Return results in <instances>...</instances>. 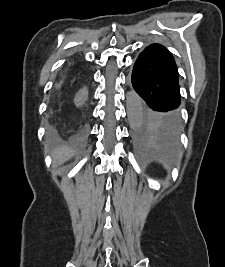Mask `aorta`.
<instances>
[{
	"label": "aorta",
	"mask_w": 225,
	"mask_h": 267,
	"mask_svg": "<svg viewBox=\"0 0 225 267\" xmlns=\"http://www.w3.org/2000/svg\"><path fill=\"white\" fill-rule=\"evenodd\" d=\"M126 109L129 124L132 129L139 127L142 101L141 98L134 92H129L126 97Z\"/></svg>",
	"instance_id": "aorta-1"
}]
</instances>
